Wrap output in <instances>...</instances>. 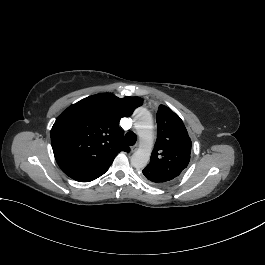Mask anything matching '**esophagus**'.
I'll list each match as a JSON object with an SVG mask.
<instances>
[{
  "instance_id": "esophagus-1",
  "label": "esophagus",
  "mask_w": 265,
  "mask_h": 265,
  "mask_svg": "<svg viewBox=\"0 0 265 265\" xmlns=\"http://www.w3.org/2000/svg\"><path fill=\"white\" fill-rule=\"evenodd\" d=\"M137 147H138V144H135V145L133 146V148H132V151H135V150L137 149Z\"/></svg>"
}]
</instances>
